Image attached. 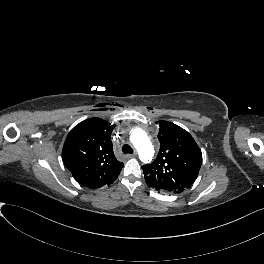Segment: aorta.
<instances>
[{
    "label": "aorta",
    "instance_id": "obj_1",
    "mask_svg": "<svg viewBox=\"0 0 264 264\" xmlns=\"http://www.w3.org/2000/svg\"><path fill=\"white\" fill-rule=\"evenodd\" d=\"M132 142L134 146L137 148L139 157L143 162H148L153 157V146L142 129L134 130L132 134Z\"/></svg>",
    "mask_w": 264,
    "mask_h": 264
}]
</instances>
